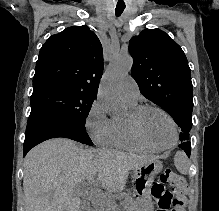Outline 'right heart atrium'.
Returning a JSON list of instances; mask_svg holds the SVG:
<instances>
[{
    "label": "right heart atrium",
    "instance_id": "right-heart-atrium-1",
    "mask_svg": "<svg viewBox=\"0 0 219 211\" xmlns=\"http://www.w3.org/2000/svg\"><path fill=\"white\" fill-rule=\"evenodd\" d=\"M85 127L95 144L107 146L111 143L114 120L99 99L91 103L85 117Z\"/></svg>",
    "mask_w": 219,
    "mask_h": 211
}]
</instances>
